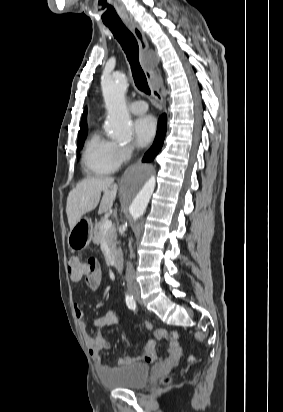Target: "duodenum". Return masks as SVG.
<instances>
[{
	"instance_id": "obj_1",
	"label": "duodenum",
	"mask_w": 283,
	"mask_h": 412,
	"mask_svg": "<svg viewBox=\"0 0 283 412\" xmlns=\"http://www.w3.org/2000/svg\"><path fill=\"white\" fill-rule=\"evenodd\" d=\"M112 261H113V265L114 268L117 272L121 273L123 270V258L122 255L120 253H117L115 255L112 256Z\"/></svg>"
}]
</instances>
